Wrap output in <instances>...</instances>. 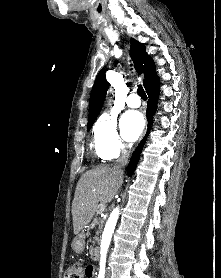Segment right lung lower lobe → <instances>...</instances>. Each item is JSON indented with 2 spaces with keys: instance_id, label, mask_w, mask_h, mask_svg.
Returning a JSON list of instances; mask_svg holds the SVG:
<instances>
[{
  "instance_id": "1",
  "label": "right lung lower lobe",
  "mask_w": 221,
  "mask_h": 278,
  "mask_svg": "<svg viewBox=\"0 0 221 278\" xmlns=\"http://www.w3.org/2000/svg\"><path fill=\"white\" fill-rule=\"evenodd\" d=\"M159 85H160V81L158 76L152 80L146 87V93L148 94L149 97V101L147 102V112H146V116H147V120H148V131L146 133V136L149 134L150 132V128H151V124L153 121V114L156 111L157 108V99L159 96ZM146 136L144 137V139L140 142V144L138 145V147L135 149V151L132 154L131 160L128 164V168H127V173L129 176H132L139 157H140V153L142 151L143 145L145 143L146 140Z\"/></svg>"
}]
</instances>
